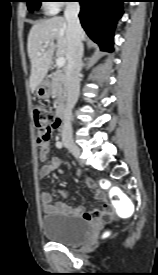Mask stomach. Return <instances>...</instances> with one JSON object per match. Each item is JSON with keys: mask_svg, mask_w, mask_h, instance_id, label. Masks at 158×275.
Returning a JSON list of instances; mask_svg holds the SVG:
<instances>
[{"mask_svg": "<svg viewBox=\"0 0 158 275\" xmlns=\"http://www.w3.org/2000/svg\"><path fill=\"white\" fill-rule=\"evenodd\" d=\"M36 95L40 99H47L51 95V86L48 79H44L36 88Z\"/></svg>", "mask_w": 158, "mask_h": 275, "instance_id": "stomach-1", "label": "stomach"}]
</instances>
